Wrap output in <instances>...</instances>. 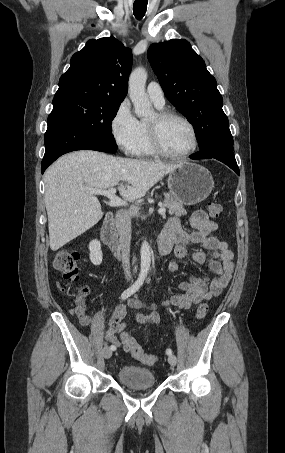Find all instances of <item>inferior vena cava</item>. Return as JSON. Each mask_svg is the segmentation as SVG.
Wrapping results in <instances>:
<instances>
[{
    "instance_id": "602c4592",
    "label": "inferior vena cava",
    "mask_w": 285,
    "mask_h": 453,
    "mask_svg": "<svg viewBox=\"0 0 285 453\" xmlns=\"http://www.w3.org/2000/svg\"><path fill=\"white\" fill-rule=\"evenodd\" d=\"M116 228L119 233L125 277L130 280L131 217L127 211L119 210L116 213Z\"/></svg>"
}]
</instances>
